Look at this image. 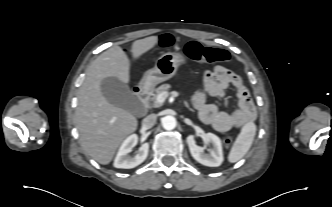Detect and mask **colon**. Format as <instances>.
<instances>
[{
    "label": "colon",
    "mask_w": 332,
    "mask_h": 207,
    "mask_svg": "<svg viewBox=\"0 0 332 207\" xmlns=\"http://www.w3.org/2000/svg\"><path fill=\"white\" fill-rule=\"evenodd\" d=\"M172 42L173 37L168 34L163 35L159 39V44L161 46H170ZM185 54L195 61L205 63H227L230 61V56L225 50L213 47H203L196 41H190L186 44ZM224 143L226 146H229L232 143L231 137H226Z\"/></svg>",
    "instance_id": "1"
}]
</instances>
